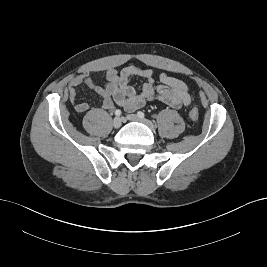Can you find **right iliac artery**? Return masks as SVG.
<instances>
[{
	"mask_svg": "<svg viewBox=\"0 0 267 267\" xmlns=\"http://www.w3.org/2000/svg\"><path fill=\"white\" fill-rule=\"evenodd\" d=\"M121 113H122V112H121V110H119V109H117V110L115 111V115H116V116H120Z\"/></svg>",
	"mask_w": 267,
	"mask_h": 267,
	"instance_id": "obj_1",
	"label": "right iliac artery"
}]
</instances>
